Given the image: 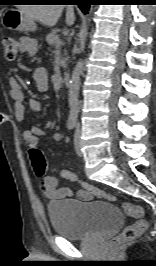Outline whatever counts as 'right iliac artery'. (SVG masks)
I'll use <instances>...</instances> for the list:
<instances>
[{"mask_svg":"<svg viewBox=\"0 0 156 266\" xmlns=\"http://www.w3.org/2000/svg\"><path fill=\"white\" fill-rule=\"evenodd\" d=\"M77 124V116L76 115H70L67 121V127L68 129L72 130L76 127Z\"/></svg>","mask_w":156,"mask_h":266,"instance_id":"1","label":"right iliac artery"}]
</instances>
